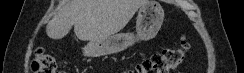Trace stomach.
<instances>
[{"label": "stomach", "mask_w": 244, "mask_h": 73, "mask_svg": "<svg viewBox=\"0 0 244 73\" xmlns=\"http://www.w3.org/2000/svg\"><path fill=\"white\" fill-rule=\"evenodd\" d=\"M164 20V10L155 0H148L138 11L136 19V35L133 33H119L103 40L89 41L83 48L86 56L98 57L119 53L139 41L154 38L160 30Z\"/></svg>", "instance_id": "stomach-1"}]
</instances>
